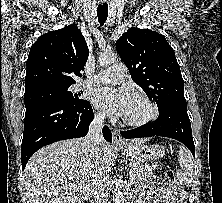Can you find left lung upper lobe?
<instances>
[{"label":"left lung upper lobe","instance_id":"obj_1","mask_svg":"<svg viewBox=\"0 0 222 203\" xmlns=\"http://www.w3.org/2000/svg\"><path fill=\"white\" fill-rule=\"evenodd\" d=\"M116 50L132 80L156 102L159 111L171 104L186 105L179 64L162 34L132 27L116 41Z\"/></svg>","mask_w":222,"mask_h":203}]
</instances>
